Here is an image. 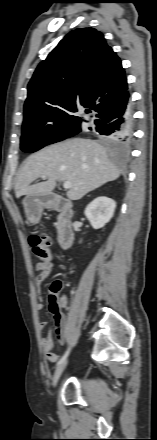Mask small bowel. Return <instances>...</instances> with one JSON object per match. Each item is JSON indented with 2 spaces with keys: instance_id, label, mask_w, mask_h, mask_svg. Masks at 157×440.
I'll list each match as a JSON object with an SVG mask.
<instances>
[{
  "instance_id": "obj_1",
  "label": "small bowel",
  "mask_w": 157,
  "mask_h": 440,
  "mask_svg": "<svg viewBox=\"0 0 157 440\" xmlns=\"http://www.w3.org/2000/svg\"><path fill=\"white\" fill-rule=\"evenodd\" d=\"M36 271L38 275L36 277V285L39 287L45 278H47L53 270V265L50 262H38L36 264ZM40 295V294H39ZM37 310L41 311L43 309V304L40 302L37 304ZM49 311L53 316L54 326H55V336L60 344L65 342L66 334V317L60 308L51 309ZM48 326L46 321H42L39 324L40 330H44ZM41 346L44 354L49 359L51 363H55L59 359V355L53 351V340L52 333L49 332L46 336L41 338Z\"/></svg>"
}]
</instances>
